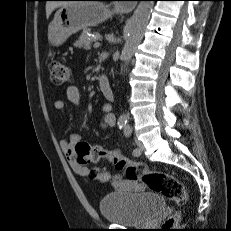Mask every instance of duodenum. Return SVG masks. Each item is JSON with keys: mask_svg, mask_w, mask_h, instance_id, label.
Here are the masks:
<instances>
[{"mask_svg": "<svg viewBox=\"0 0 231 231\" xmlns=\"http://www.w3.org/2000/svg\"><path fill=\"white\" fill-rule=\"evenodd\" d=\"M98 83H99L100 90L103 93V95L106 97V99L110 101L114 100L115 94L108 79L105 76L101 75L98 77Z\"/></svg>", "mask_w": 231, "mask_h": 231, "instance_id": "duodenum-1", "label": "duodenum"}]
</instances>
